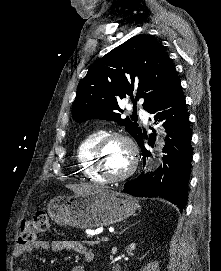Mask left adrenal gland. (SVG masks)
I'll return each mask as SVG.
<instances>
[{
    "mask_svg": "<svg viewBox=\"0 0 221 271\" xmlns=\"http://www.w3.org/2000/svg\"><path fill=\"white\" fill-rule=\"evenodd\" d=\"M137 223H138V221H137ZM132 225H135V223H132ZM125 229H128V227H125Z\"/></svg>",
    "mask_w": 221,
    "mask_h": 271,
    "instance_id": "a2214340",
    "label": "left adrenal gland"
}]
</instances>
